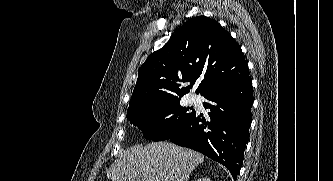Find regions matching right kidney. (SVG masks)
I'll return each mask as SVG.
<instances>
[{"instance_id":"obj_1","label":"right kidney","mask_w":333,"mask_h":181,"mask_svg":"<svg viewBox=\"0 0 333 181\" xmlns=\"http://www.w3.org/2000/svg\"><path fill=\"white\" fill-rule=\"evenodd\" d=\"M197 181H211V179L210 178H200Z\"/></svg>"}]
</instances>
